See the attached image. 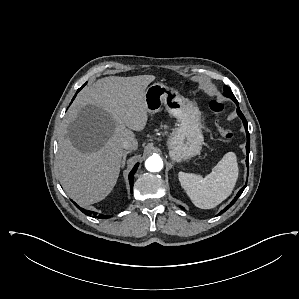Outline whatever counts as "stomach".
Segmentation results:
<instances>
[{
  "instance_id": "obj_1",
  "label": "stomach",
  "mask_w": 299,
  "mask_h": 299,
  "mask_svg": "<svg viewBox=\"0 0 299 299\" xmlns=\"http://www.w3.org/2000/svg\"><path fill=\"white\" fill-rule=\"evenodd\" d=\"M145 103L149 113H157L164 106L179 122V127L172 132L167 142L173 161L180 162L200 153L204 137L201 112L195 103L160 82L146 89Z\"/></svg>"
}]
</instances>
